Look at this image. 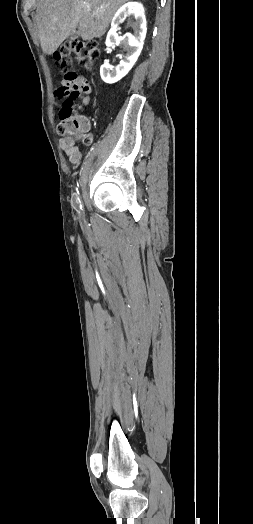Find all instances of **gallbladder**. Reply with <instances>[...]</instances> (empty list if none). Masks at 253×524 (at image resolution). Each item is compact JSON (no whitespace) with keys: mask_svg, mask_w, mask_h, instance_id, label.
<instances>
[{"mask_svg":"<svg viewBox=\"0 0 253 524\" xmlns=\"http://www.w3.org/2000/svg\"><path fill=\"white\" fill-rule=\"evenodd\" d=\"M77 37H78L77 32H73V33L71 34V39L74 40V39H76Z\"/></svg>","mask_w":253,"mask_h":524,"instance_id":"gallbladder-1","label":"gallbladder"}]
</instances>
